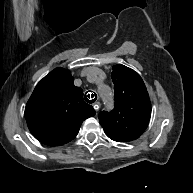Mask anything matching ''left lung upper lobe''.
<instances>
[{"instance_id": "obj_1", "label": "left lung upper lobe", "mask_w": 193, "mask_h": 193, "mask_svg": "<svg viewBox=\"0 0 193 193\" xmlns=\"http://www.w3.org/2000/svg\"><path fill=\"white\" fill-rule=\"evenodd\" d=\"M112 80L115 107L110 113L99 114L100 124L112 140L134 141L143 134L151 116L146 86L138 73L124 65L113 66Z\"/></svg>"}]
</instances>
